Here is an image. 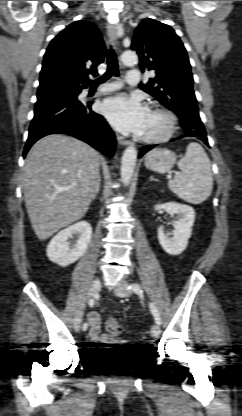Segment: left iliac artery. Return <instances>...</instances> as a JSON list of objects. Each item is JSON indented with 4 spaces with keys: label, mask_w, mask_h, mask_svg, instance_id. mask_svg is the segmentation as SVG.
Masks as SVG:
<instances>
[{
    "label": "left iliac artery",
    "mask_w": 242,
    "mask_h": 416,
    "mask_svg": "<svg viewBox=\"0 0 242 416\" xmlns=\"http://www.w3.org/2000/svg\"><path fill=\"white\" fill-rule=\"evenodd\" d=\"M128 289L133 290L134 292L138 293L141 292V286L139 284H131ZM150 310L154 316V319L158 325H161V317L160 314L153 303H150Z\"/></svg>",
    "instance_id": "obj_1"
}]
</instances>
